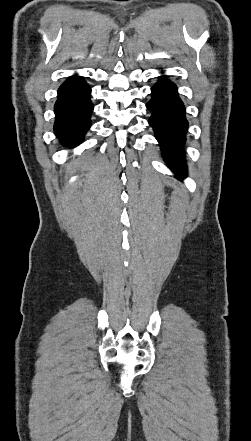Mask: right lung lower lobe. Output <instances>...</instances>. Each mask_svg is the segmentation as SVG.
<instances>
[{"label": "right lung lower lobe", "mask_w": 251, "mask_h": 441, "mask_svg": "<svg viewBox=\"0 0 251 441\" xmlns=\"http://www.w3.org/2000/svg\"><path fill=\"white\" fill-rule=\"evenodd\" d=\"M90 94L89 85L80 76H71L60 86L54 132L62 145L72 148L83 141L91 125Z\"/></svg>", "instance_id": "1"}]
</instances>
